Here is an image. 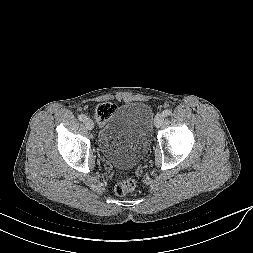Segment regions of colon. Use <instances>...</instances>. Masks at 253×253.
Listing matches in <instances>:
<instances>
[{
	"instance_id": "1",
	"label": "colon",
	"mask_w": 253,
	"mask_h": 253,
	"mask_svg": "<svg viewBox=\"0 0 253 253\" xmlns=\"http://www.w3.org/2000/svg\"><path fill=\"white\" fill-rule=\"evenodd\" d=\"M115 106L111 103H102L95 110V117L99 122L106 121L114 112ZM135 189V182L132 179H124L114 187V192L118 196L129 194Z\"/></svg>"
}]
</instances>
